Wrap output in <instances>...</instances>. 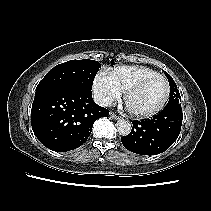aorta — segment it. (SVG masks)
<instances>
[{
    "label": "aorta",
    "instance_id": "aorta-1",
    "mask_svg": "<svg viewBox=\"0 0 211 211\" xmlns=\"http://www.w3.org/2000/svg\"><path fill=\"white\" fill-rule=\"evenodd\" d=\"M131 124L129 121L124 120V119H119L117 121V129L119 134L122 136H127L131 132Z\"/></svg>",
    "mask_w": 211,
    "mask_h": 211
}]
</instances>
